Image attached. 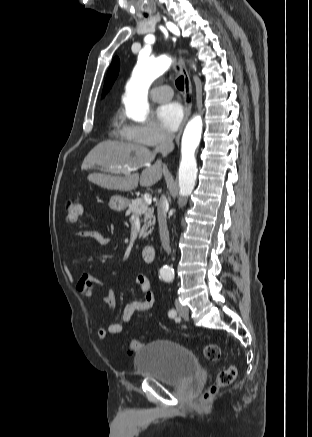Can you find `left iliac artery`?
Returning <instances> with one entry per match:
<instances>
[{
    "mask_svg": "<svg viewBox=\"0 0 312 437\" xmlns=\"http://www.w3.org/2000/svg\"><path fill=\"white\" fill-rule=\"evenodd\" d=\"M169 317L174 318L176 316V311L174 309L169 310L168 312Z\"/></svg>",
    "mask_w": 312,
    "mask_h": 437,
    "instance_id": "1",
    "label": "left iliac artery"
}]
</instances>
